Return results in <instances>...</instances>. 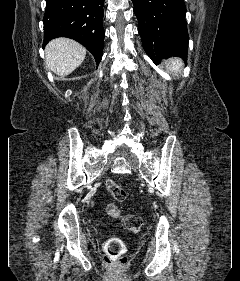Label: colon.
<instances>
[{"label":"colon","mask_w":240,"mask_h":281,"mask_svg":"<svg viewBox=\"0 0 240 281\" xmlns=\"http://www.w3.org/2000/svg\"><path fill=\"white\" fill-rule=\"evenodd\" d=\"M105 187L108 193L117 201H124L129 197L128 193L114 180H107ZM106 212L111 218L117 219L121 217L119 208L113 203L106 206ZM123 221L130 231H138L142 226V219L137 215H126ZM104 258L108 265L117 268L125 266L128 262L124 248L119 241H109L106 244Z\"/></svg>","instance_id":"1"}]
</instances>
